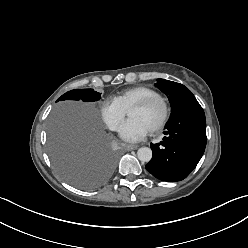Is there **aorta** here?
I'll return each instance as SVG.
<instances>
[{
    "mask_svg": "<svg viewBox=\"0 0 248 248\" xmlns=\"http://www.w3.org/2000/svg\"><path fill=\"white\" fill-rule=\"evenodd\" d=\"M137 157L142 162H149L152 158V150L149 147H141L137 151Z\"/></svg>",
    "mask_w": 248,
    "mask_h": 248,
    "instance_id": "762f6f07",
    "label": "aorta"
}]
</instances>
